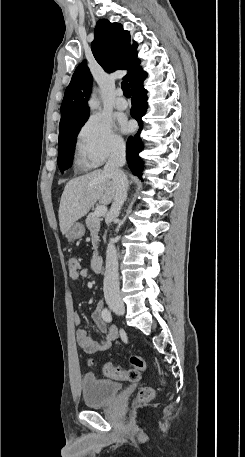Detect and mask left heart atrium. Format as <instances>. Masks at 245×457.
<instances>
[{
	"instance_id": "left-heart-atrium-1",
	"label": "left heart atrium",
	"mask_w": 245,
	"mask_h": 457,
	"mask_svg": "<svg viewBox=\"0 0 245 457\" xmlns=\"http://www.w3.org/2000/svg\"><path fill=\"white\" fill-rule=\"evenodd\" d=\"M122 128H123L124 130H127V129H128V125L125 124V123H122Z\"/></svg>"
}]
</instances>
